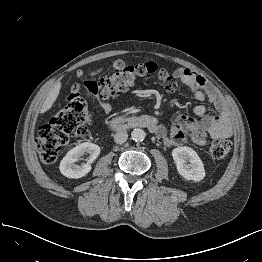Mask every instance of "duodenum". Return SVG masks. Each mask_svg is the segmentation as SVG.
I'll return each mask as SVG.
<instances>
[{
    "instance_id": "obj_1",
    "label": "duodenum",
    "mask_w": 262,
    "mask_h": 262,
    "mask_svg": "<svg viewBox=\"0 0 262 262\" xmlns=\"http://www.w3.org/2000/svg\"><path fill=\"white\" fill-rule=\"evenodd\" d=\"M153 123L144 118L119 117L111 122L110 128L114 131H123L131 128H151Z\"/></svg>"
}]
</instances>
